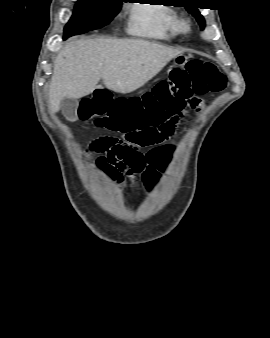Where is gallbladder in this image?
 I'll return each mask as SVG.
<instances>
[{
    "label": "gallbladder",
    "instance_id": "obj_1",
    "mask_svg": "<svg viewBox=\"0 0 270 338\" xmlns=\"http://www.w3.org/2000/svg\"><path fill=\"white\" fill-rule=\"evenodd\" d=\"M78 106L79 101L77 99L64 98L61 100L62 113L66 118L70 120H74L77 118Z\"/></svg>",
    "mask_w": 270,
    "mask_h": 338
}]
</instances>
